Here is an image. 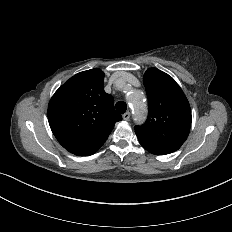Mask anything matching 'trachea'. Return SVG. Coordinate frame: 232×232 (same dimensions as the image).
Segmentation results:
<instances>
[{"label": "trachea", "mask_w": 232, "mask_h": 232, "mask_svg": "<svg viewBox=\"0 0 232 232\" xmlns=\"http://www.w3.org/2000/svg\"><path fill=\"white\" fill-rule=\"evenodd\" d=\"M115 107H116L117 112L120 113V114L125 113L126 110H127V105L123 101L117 102L116 105H115Z\"/></svg>", "instance_id": "obj_1"}]
</instances>
